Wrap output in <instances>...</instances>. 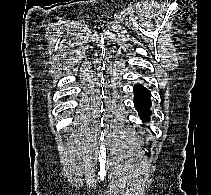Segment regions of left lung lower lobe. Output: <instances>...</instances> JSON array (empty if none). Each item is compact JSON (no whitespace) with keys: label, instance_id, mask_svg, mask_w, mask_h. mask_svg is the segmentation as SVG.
Here are the masks:
<instances>
[{"label":"left lung lower lobe","instance_id":"left-lung-lower-lobe-1","mask_svg":"<svg viewBox=\"0 0 211 195\" xmlns=\"http://www.w3.org/2000/svg\"><path fill=\"white\" fill-rule=\"evenodd\" d=\"M134 101L135 107L139 113V116L144 122L150 121V115L152 111L151 107V92L143 85L137 84L134 87Z\"/></svg>","mask_w":211,"mask_h":195}]
</instances>
